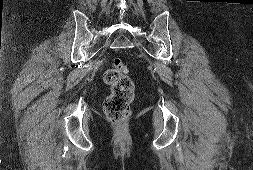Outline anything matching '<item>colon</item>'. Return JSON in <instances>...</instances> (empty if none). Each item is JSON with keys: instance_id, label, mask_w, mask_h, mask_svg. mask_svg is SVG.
Here are the masks:
<instances>
[{"instance_id": "colon-1", "label": "colon", "mask_w": 253, "mask_h": 170, "mask_svg": "<svg viewBox=\"0 0 253 170\" xmlns=\"http://www.w3.org/2000/svg\"><path fill=\"white\" fill-rule=\"evenodd\" d=\"M127 72L123 61L115 58L104 75L105 83L111 87V94L104 102V111L108 120L114 124L127 122L131 113L135 87Z\"/></svg>"}]
</instances>
